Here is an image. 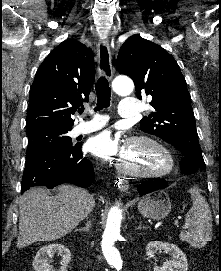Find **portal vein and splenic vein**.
I'll use <instances>...</instances> for the list:
<instances>
[{
    "instance_id": "1",
    "label": "portal vein and splenic vein",
    "mask_w": 221,
    "mask_h": 271,
    "mask_svg": "<svg viewBox=\"0 0 221 271\" xmlns=\"http://www.w3.org/2000/svg\"><path fill=\"white\" fill-rule=\"evenodd\" d=\"M174 223L175 225H178V219H175Z\"/></svg>"
}]
</instances>
